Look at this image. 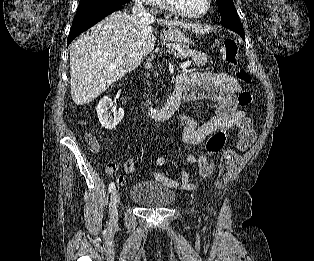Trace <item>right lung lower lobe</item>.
<instances>
[{
	"mask_svg": "<svg viewBox=\"0 0 314 261\" xmlns=\"http://www.w3.org/2000/svg\"><path fill=\"white\" fill-rule=\"evenodd\" d=\"M120 9H122L121 4H111L92 10L86 14L76 16L73 20L72 27L70 29V33L67 39V46L80 33L86 31L88 28L95 25L100 20L105 18L107 15Z\"/></svg>",
	"mask_w": 314,
	"mask_h": 261,
	"instance_id": "1",
	"label": "right lung lower lobe"
}]
</instances>
